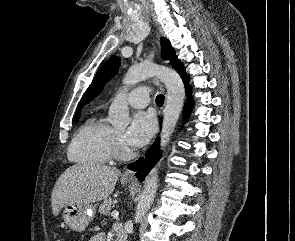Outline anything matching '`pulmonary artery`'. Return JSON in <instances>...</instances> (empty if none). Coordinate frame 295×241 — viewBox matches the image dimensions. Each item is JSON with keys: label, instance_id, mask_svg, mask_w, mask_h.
Returning <instances> with one entry per match:
<instances>
[{"label": "pulmonary artery", "instance_id": "pulmonary-artery-1", "mask_svg": "<svg viewBox=\"0 0 295 241\" xmlns=\"http://www.w3.org/2000/svg\"><path fill=\"white\" fill-rule=\"evenodd\" d=\"M151 90L146 86L132 89L125 97L128 104L135 108H144L150 102Z\"/></svg>", "mask_w": 295, "mask_h": 241}]
</instances>
